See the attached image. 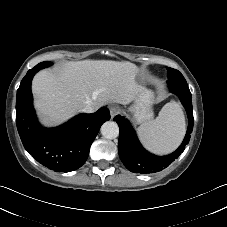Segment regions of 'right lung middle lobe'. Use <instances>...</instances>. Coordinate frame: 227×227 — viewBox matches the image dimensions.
<instances>
[{
	"mask_svg": "<svg viewBox=\"0 0 227 227\" xmlns=\"http://www.w3.org/2000/svg\"><path fill=\"white\" fill-rule=\"evenodd\" d=\"M51 64H52L51 62H42V63H39L38 65H36L35 68L43 69V68L50 66Z\"/></svg>",
	"mask_w": 227,
	"mask_h": 227,
	"instance_id": "right-lung-middle-lobe-1",
	"label": "right lung middle lobe"
}]
</instances>
